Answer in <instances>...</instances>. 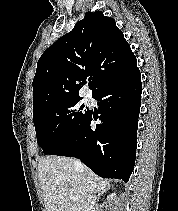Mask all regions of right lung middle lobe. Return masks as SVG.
<instances>
[{"mask_svg":"<svg viewBox=\"0 0 178 211\" xmlns=\"http://www.w3.org/2000/svg\"><path fill=\"white\" fill-rule=\"evenodd\" d=\"M80 100L57 102L33 115L37 143L44 154H50L84 125L89 110L79 103Z\"/></svg>","mask_w":178,"mask_h":211,"instance_id":"obj_1","label":"right lung middle lobe"}]
</instances>
